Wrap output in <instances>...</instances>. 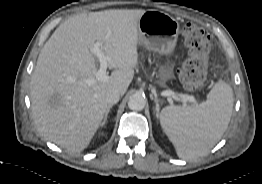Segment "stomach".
Segmentation results:
<instances>
[{"mask_svg":"<svg viewBox=\"0 0 262 184\" xmlns=\"http://www.w3.org/2000/svg\"><path fill=\"white\" fill-rule=\"evenodd\" d=\"M178 21L167 13L147 10L138 21V41L147 49L170 55L179 34ZM162 81L173 78V65L167 62L159 70Z\"/></svg>","mask_w":262,"mask_h":184,"instance_id":"stomach-1","label":"stomach"}]
</instances>
